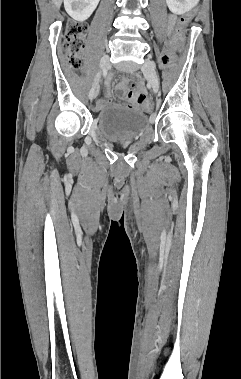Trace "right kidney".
Here are the masks:
<instances>
[{
  "instance_id": "ca27d5eb",
  "label": "right kidney",
  "mask_w": 241,
  "mask_h": 379,
  "mask_svg": "<svg viewBox=\"0 0 241 379\" xmlns=\"http://www.w3.org/2000/svg\"><path fill=\"white\" fill-rule=\"evenodd\" d=\"M100 0H64L66 12L76 21L84 22L96 9Z\"/></svg>"
}]
</instances>
